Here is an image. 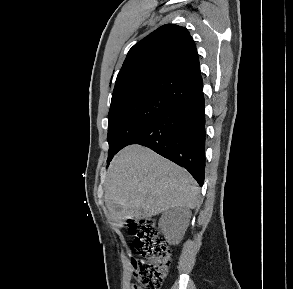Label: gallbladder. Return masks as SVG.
<instances>
[{"label": "gallbladder", "instance_id": "obj_1", "mask_svg": "<svg viewBox=\"0 0 293 289\" xmlns=\"http://www.w3.org/2000/svg\"><path fill=\"white\" fill-rule=\"evenodd\" d=\"M116 211H121V207H116Z\"/></svg>", "mask_w": 293, "mask_h": 289}]
</instances>
